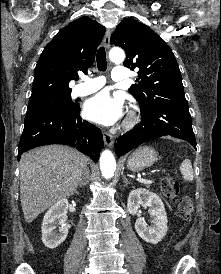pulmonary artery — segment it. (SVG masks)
Wrapping results in <instances>:
<instances>
[{
    "mask_svg": "<svg viewBox=\"0 0 221 274\" xmlns=\"http://www.w3.org/2000/svg\"><path fill=\"white\" fill-rule=\"evenodd\" d=\"M128 78L127 70L124 67L117 66L112 71L114 81H124ZM105 84L103 77L84 78L83 83L77 85L73 90L74 96H85L101 89Z\"/></svg>",
    "mask_w": 221,
    "mask_h": 274,
    "instance_id": "pulmonary-artery-1",
    "label": "pulmonary artery"
}]
</instances>
